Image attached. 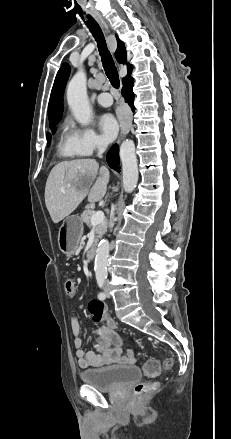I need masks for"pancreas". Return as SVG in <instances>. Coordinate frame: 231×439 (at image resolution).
Segmentation results:
<instances>
[{
	"label": "pancreas",
	"instance_id": "1",
	"mask_svg": "<svg viewBox=\"0 0 231 439\" xmlns=\"http://www.w3.org/2000/svg\"><path fill=\"white\" fill-rule=\"evenodd\" d=\"M95 214V211L92 208H86L83 213L81 214V219L82 221L89 227H92L91 224V218L92 216ZM107 227H108V221L106 219H104L103 222H101L100 224H98L97 226H95V240H94V245L97 244L99 238H101L105 232L107 231Z\"/></svg>",
	"mask_w": 231,
	"mask_h": 439
}]
</instances>
